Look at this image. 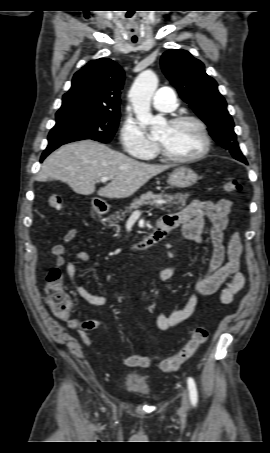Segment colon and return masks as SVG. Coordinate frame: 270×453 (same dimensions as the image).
I'll use <instances>...</instances> for the list:
<instances>
[{"label":"colon","mask_w":270,"mask_h":453,"mask_svg":"<svg viewBox=\"0 0 270 453\" xmlns=\"http://www.w3.org/2000/svg\"><path fill=\"white\" fill-rule=\"evenodd\" d=\"M226 192H239L241 184L236 179H228L223 184ZM49 206L61 211L64 208L63 200L59 195H51ZM46 294L51 311L59 317H67L73 309V301L63 285V274L60 269L52 268L46 276ZM208 331L204 327H197L191 334L189 341L175 355L162 360L159 367L163 371H175L192 358L198 348L206 342Z\"/></svg>","instance_id":"1"}]
</instances>
